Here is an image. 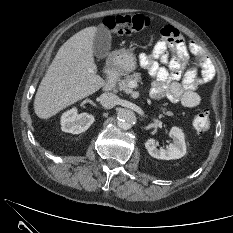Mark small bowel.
Wrapping results in <instances>:
<instances>
[{
  "instance_id": "1",
  "label": "small bowel",
  "mask_w": 233,
  "mask_h": 233,
  "mask_svg": "<svg viewBox=\"0 0 233 233\" xmlns=\"http://www.w3.org/2000/svg\"><path fill=\"white\" fill-rule=\"evenodd\" d=\"M161 36L150 53L139 55L141 65L153 78L152 96L186 107L198 106L201 102L198 87L215 74L212 62L201 46L186 42L176 28L165 26ZM190 55L195 56L194 62L190 61Z\"/></svg>"
}]
</instances>
